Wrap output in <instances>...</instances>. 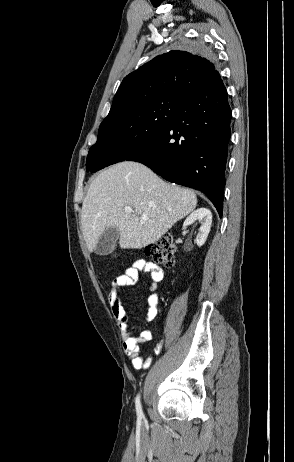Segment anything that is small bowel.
Listing matches in <instances>:
<instances>
[{
    "label": "small bowel",
    "mask_w": 294,
    "mask_h": 462,
    "mask_svg": "<svg viewBox=\"0 0 294 462\" xmlns=\"http://www.w3.org/2000/svg\"><path fill=\"white\" fill-rule=\"evenodd\" d=\"M141 272L149 274V283L146 287V292L149 295L147 299L148 310L145 319L148 322L156 320L160 313L157 287L164 278V271L153 262L137 259L131 267L112 281L108 294L109 304L122 333L124 352L136 370H144L151 365L152 357H142L140 344L151 340L152 333L149 330L136 333L128 328V314L123 306L119 292L123 287L134 285L138 281ZM162 346L163 342L160 340L154 347V353H160Z\"/></svg>",
    "instance_id": "obj_1"
}]
</instances>
